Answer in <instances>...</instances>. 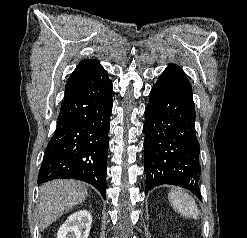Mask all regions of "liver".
<instances>
[{
  "label": "liver",
  "mask_w": 247,
  "mask_h": 238,
  "mask_svg": "<svg viewBox=\"0 0 247 238\" xmlns=\"http://www.w3.org/2000/svg\"><path fill=\"white\" fill-rule=\"evenodd\" d=\"M88 195L86 187L74 180H54L40 188L37 206L40 230L43 231L63 213L82 203Z\"/></svg>",
  "instance_id": "6515ba94"
}]
</instances>
